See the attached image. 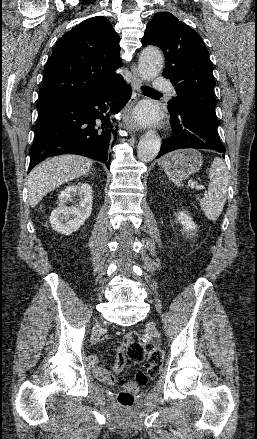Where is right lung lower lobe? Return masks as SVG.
<instances>
[{"label": "right lung lower lobe", "instance_id": "obj_1", "mask_svg": "<svg viewBox=\"0 0 257 439\" xmlns=\"http://www.w3.org/2000/svg\"><path fill=\"white\" fill-rule=\"evenodd\" d=\"M130 97L131 87L120 78L97 92L39 109L28 173L47 157L68 153L101 161L110 168L109 149L117 137L110 116Z\"/></svg>", "mask_w": 257, "mask_h": 439}]
</instances>
